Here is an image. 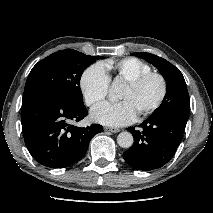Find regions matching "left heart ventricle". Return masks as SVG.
<instances>
[{"label": "left heart ventricle", "instance_id": "left-heart-ventricle-1", "mask_svg": "<svg viewBox=\"0 0 213 213\" xmlns=\"http://www.w3.org/2000/svg\"><path fill=\"white\" fill-rule=\"evenodd\" d=\"M160 84L156 79H149L137 89L126 86L121 94L122 100L132 103L137 113L150 105L159 95Z\"/></svg>", "mask_w": 213, "mask_h": 213}]
</instances>
